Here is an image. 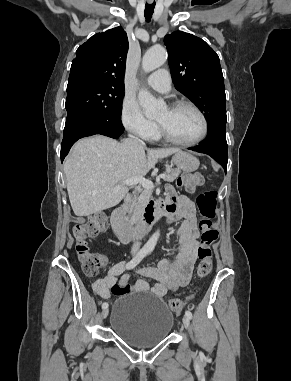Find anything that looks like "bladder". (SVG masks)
<instances>
[{"instance_id":"31cf9c89","label":"bladder","mask_w":291,"mask_h":381,"mask_svg":"<svg viewBox=\"0 0 291 381\" xmlns=\"http://www.w3.org/2000/svg\"><path fill=\"white\" fill-rule=\"evenodd\" d=\"M173 322L164 300L147 292L123 295L112 304L110 329L136 348H150L166 339Z\"/></svg>"}]
</instances>
